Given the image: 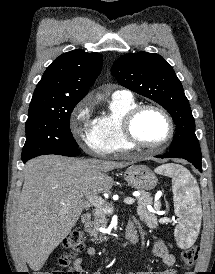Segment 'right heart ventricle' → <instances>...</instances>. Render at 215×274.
<instances>
[{
	"label": "right heart ventricle",
	"instance_id": "right-heart-ventricle-1",
	"mask_svg": "<svg viewBox=\"0 0 215 274\" xmlns=\"http://www.w3.org/2000/svg\"><path fill=\"white\" fill-rule=\"evenodd\" d=\"M137 105L130 97L112 96L109 102V112L95 119L96 128L104 140L108 153H120L131 150L122 133V119L128 110Z\"/></svg>",
	"mask_w": 215,
	"mask_h": 274
}]
</instances>
